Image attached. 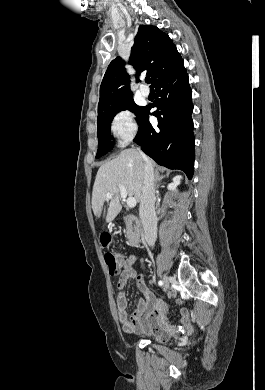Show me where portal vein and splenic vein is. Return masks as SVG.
Returning <instances> with one entry per match:
<instances>
[{"label": "portal vein and splenic vein", "mask_w": 265, "mask_h": 390, "mask_svg": "<svg viewBox=\"0 0 265 390\" xmlns=\"http://www.w3.org/2000/svg\"><path fill=\"white\" fill-rule=\"evenodd\" d=\"M119 188H120V196H121V198L126 199L127 198V192H126L125 187L123 185H119ZM106 197L107 198H111L112 194L110 192H108L106 194ZM126 203H127L128 207L132 208V207L136 206L137 201H136V199L134 197H128L126 199Z\"/></svg>", "instance_id": "18ae733b"}]
</instances>
